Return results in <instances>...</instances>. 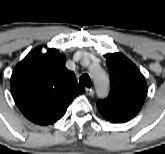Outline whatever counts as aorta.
I'll use <instances>...</instances> for the list:
<instances>
[{
  "instance_id": "762f6f07",
  "label": "aorta",
  "mask_w": 165,
  "mask_h": 154,
  "mask_svg": "<svg viewBox=\"0 0 165 154\" xmlns=\"http://www.w3.org/2000/svg\"><path fill=\"white\" fill-rule=\"evenodd\" d=\"M91 75L94 79L97 94L99 97H104L109 91V79L107 74L100 68L92 70Z\"/></svg>"
}]
</instances>
